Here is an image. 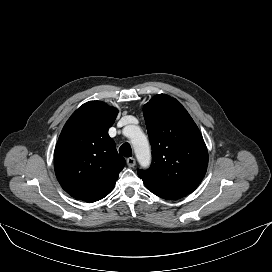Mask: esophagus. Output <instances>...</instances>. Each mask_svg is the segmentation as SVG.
<instances>
[{
	"mask_svg": "<svg viewBox=\"0 0 272 272\" xmlns=\"http://www.w3.org/2000/svg\"><path fill=\"white\" fill-rule=\"evenodd\" d=\"M135 164H136V161H135V159L133 157H130V158L127 159V165L129 167H134Z\"/></svg>",
	"mask_w": 272,
	"mask_h": 272,
	"instance_id": "esophagus-1",
	"label": "esophagus"
}]
</instances>
